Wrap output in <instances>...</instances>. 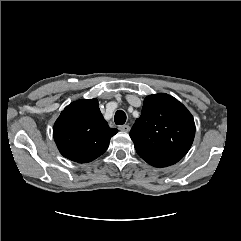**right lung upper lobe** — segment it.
Returning a JSON list of instances; mask_svg holds the SVG:
<instances>
[{
  "label": "right lung upper lobe",
  "instance_id": "right-lung-upper-lobe-1",
  "mask_svg": "<svg viewBox=\"0 0 241 241\" xmlns=\"http://www.w3.org/2000/svg\"><path fill=\"white\" fill-rule=\"evenodd\" d=\"M96 99H83L67 106L56 120L53 136L60 153L78 163L90 162L102 155L112 136Z\"/></svg>",
  "mask_w": 241,
  "mask_h": 241
}]
</instances>
